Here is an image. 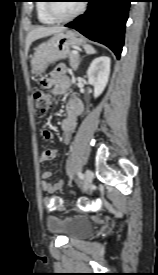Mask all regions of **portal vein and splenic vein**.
Listing matches in <instances>:
<instances>
[{
    "mask_svg": "<svg viewBox=\"0 0 158 275\" xmlns=\"http://www.w3.org/2000/svg\"><path fill=\"white\" fill-rule=\"evenodd\" d=\"M73 54L78 55V51H73Z\"/></svg>",
    "mask_w": 158,
    "mask_h": 275,
    "instance_id": "obj_1",
    "label": "portal vein and splenic vein"
}]
</instances>
